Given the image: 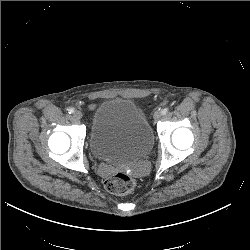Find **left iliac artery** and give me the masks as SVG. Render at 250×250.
Here are the masks:
<instances>
[{
  "instance_id": "1",
  "label": "left iliac artery",
  "mask_w": 250,
  "mask_h": 250,
  "mask_svg": "<svg viewBox=\"0 0 250 250\" xmlns=\"http://www.w3.org/2000/svg\"><path fill=\"white\" fill-rule=\"evenodd\" d=\"M169 111L168 107H165L164 109H162V114L165 115L167 112Z\"/></svg>"
}]
</instances>
